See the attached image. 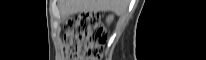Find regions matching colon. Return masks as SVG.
Here are the masks:
<instances>
[{"instance_id": "1", "label": "colon", "mask_w": 206, "mask_h": 60, "mask_svg": "<svg viewBox=\"0 0 206 60\" xmlns=\"http://www.w3.org/2000/svg\"><path fill=\"white\" fill-rule=\"evenodd\" d=\"M106 41L99 15L82 14L68 21L64 33L66 60H99Z\"/></svg>"}]
</instances>
